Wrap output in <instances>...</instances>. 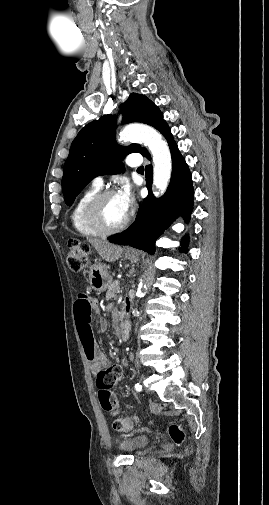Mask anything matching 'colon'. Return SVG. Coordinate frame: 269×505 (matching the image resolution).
Instances as JSON below:
<instances>
[{
	"label": "colon",
	"mask_w": 269,
	"mask_h": 505,
	"mask_svg": "<svg viewBox=\"0 0 269 505\" xmlns=\"http://www.w3.org/2000/svg\"><path fill=\"white\" fill-rule=\"evenodd\" d=\"M67 261L72 271L80 272L87 266L89 261L88 247L78 242L71 243L69 245ZM118 380L119 372L114 367L103 369L96 375V384L99 388V401L101 407L106 411L115 410L116 401L112 388L117 384ZM136 421V417L133 415L118 417L113 422V428L118 432L127 433L134 428ZM169 434L177 444L182 443L184 440V431L177 424L170 425Z\"/></svg>",
	"instance_id": "colon-1"
}]
</instances>
